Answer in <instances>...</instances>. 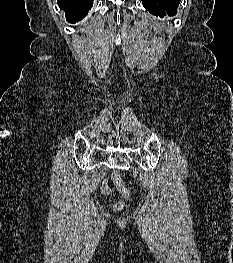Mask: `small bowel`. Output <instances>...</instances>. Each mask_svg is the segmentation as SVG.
Instances as JSON below:
<instances>
[{"label": "small bowel", "mask_w": 233, "mask_h": 263, "mask_svg": "<svg viewBox=\"0 0 233 263\" xmlns=\"http://www.w3.org/2000/svg\"><path fill=\"white\" fill-rule=\"evenodd\" d=\"M113 179V178H112ZM101 191L104 194H109L112 192V188L109 186L108 180H104L102 185H101Z\"/></svg>", "instance_id": "1"}]
</instances>
